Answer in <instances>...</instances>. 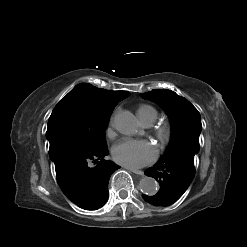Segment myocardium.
<instances>
[{
    "mask_svg": "<svg viewBox=\"0 0 247 247\" xmlns=\"http://www.w3.org/2000/svg\"><path fill=\"white\" fill-rule=\"evenodd\" d=\"M154 132H155V135L157 136V138L161 142L165 143L170 139L172 129L168 123H162V124L158 125L157 127H155Z\"/></svg>",
    "mask_w": 247,
    "mask_h": 247,
    "instance_id": "1",
    "label": "myocardium"
}]
</instances>
